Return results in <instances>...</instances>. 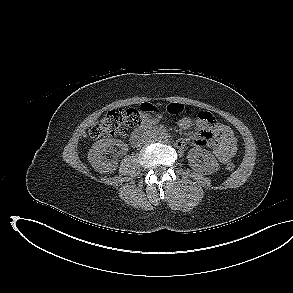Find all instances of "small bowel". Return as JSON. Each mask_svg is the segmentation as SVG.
<instances>
[{"mask_svg":"<svg viewBox=\"0 0 293 293\" xmlns=\"http://www.w3.org/2000/svg\"><path fill=\"white\" fill-rule=\"evenodd\" d=\"M143 125L152 126L158 121L156 115L157 108L150 103H143ZM208 113V112H207ZM193 121L189 117H184L179 121L182 129H189ZM197 132L178 142L180 148L188 146H208L213 150L219 162L225 164L233 158L236 152V138L229 127L218 123L216 120L207 121L199 114L195 121Z\"/></svg>","mask_w":293,"mask_h":293,"instance_id":"obj_1","label":"small bowel"}]
</instances>
